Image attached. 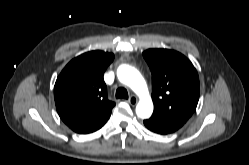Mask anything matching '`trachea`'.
I'll use <instances>...</instances> for the list:
<instances>
[{
	"mask_svg": "<svg viewBox=\"0 0 249 165\" xmlns=\"http://www.w3.org/2000/svg\"><path fill=\"white\" fill-rule=\"evenodd\" d=\"M115 96L117 99H128V92L125 88L120 87L116 90Z\"/></svg>",
	"mask_w": 249,
	"mask_h": 165,
	"instance_id": "trachea-1",
	"label": "trachea"
}]
</instances>
